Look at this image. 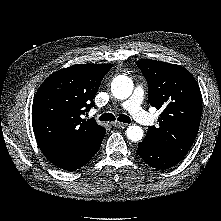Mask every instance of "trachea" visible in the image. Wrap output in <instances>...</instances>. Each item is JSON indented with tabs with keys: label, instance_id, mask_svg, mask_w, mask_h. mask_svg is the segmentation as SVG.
Instances as JSON below:
<instances>
[{
	"label": "trachea",
	"instance_id": "obj_1",
	"mask_svg": "<svg viewBox=\"0 0 221 221\" xmlns=\"http://www.w3.org/2000/svg\"><path fill=\"white\" fill-rule=\"evenodd\" d=\"M115 119H116L115 116L111 113H104L99 117L100 121H114ZM117 120L120 122H123V123H130L131 122L130 117L127 115H123V114L120 115L117 118Z\"/></svg>",
	"mask_w": 221,
	"mask_h": 221
}]
</instances>
